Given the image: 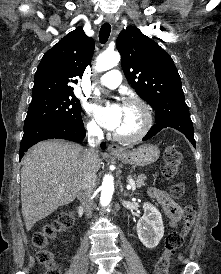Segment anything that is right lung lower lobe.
<instances>
[{
  "label": "right lung lower lobe",
  "instance_id": "right-lung-lower-lobe-1",
  "mask_svg": "<svg viewBox=\"0 0 221 274\" xmlns=\"http://www.w3.org/2000/svg\"><path fill=\"white\" fill-rule=\"evenodd\" d=\"M84 125H74L65 122L53 121L44 122L24 128V135L20 145L19 158L24 152L39 141L61 138L79 142L85 138ZM101 148L105 149V143H101Z\"/></svg>",
  "mask_w": 221,
  "mask_h": 274
}]
</instances>
